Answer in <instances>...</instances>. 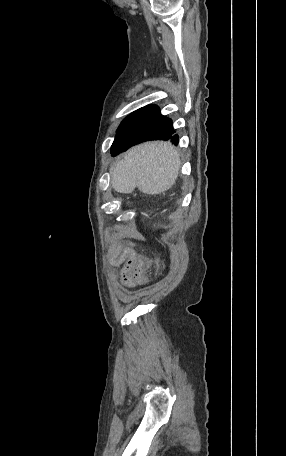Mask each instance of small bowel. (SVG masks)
<instances>
[{
    "instance_id": "1",
    "label": "small bowel",
    "mask_w": 286,
    "mask_h": 456,
    "mask_svg": "<svg viewBox=\"0 0 286 456\" xmlns=\"http://www.w3.org/2000/svg\"><path fill=\"white\" fill-rule=\"evenodd\" d=\"M137 253L133 248L122 247L120 243H115L109 251V260L114 267L120 268L121 282L127 288H134L138 285L133 275L132 269Z\"/></svg>"
}]
</instances>
